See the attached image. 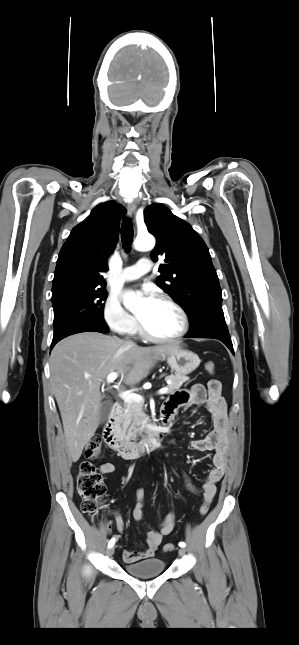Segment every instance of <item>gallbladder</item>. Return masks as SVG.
Returning a JSON list of instances; mask_svg holds the SVG:
<instances>
[{
	"instance_id": "bac80fb5",
	"label": "gallbladder",
	"mask_w": 299,
	"mask_h": 645,
	"mask_svg": "<svg viewBox=\"0 0 299 645\" xmlns=\"http://www.w3.org/2000/svg\"><path fill=\"white\" fill-rule=\"evenodd\" d=\"M112 408V403L110 401H105L102 403L101 408H100V422L106 421L108 418V415L111 411Z\"/></svg>"
}]
</instances>
